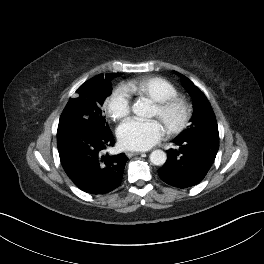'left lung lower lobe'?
Wrapping results in <instances>:
<instances>
[{
  "mask_svg": "<svg viewBox=\"0 0 264 264\" xmlns=\"http://www.w3.org/2000/svg\"><path fill=\"white\" fill-rule=\"evenodd\" d=\"M179 149L167 151V160L158 170L160 178L177 188H188L200 183L212 166L219 149V136L195 134L175 138Z\"/></svg>",
  "mask_w": 264,
  "mask_h": 264,
  "instance_id": "0a47b994",
  "label": "left lung lower lobe"
}]
</instances>
